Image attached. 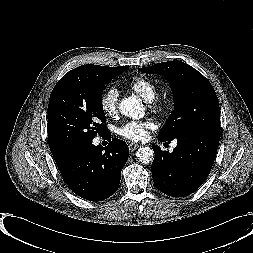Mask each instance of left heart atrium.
Wrapping results in <instances>:
<instances>
[{"instance_id":"39dd6f15","label":"left heart atrium","mask_w":253,"mask_h":253,"mask_svg":"<svg viewBox=\"0 0 253 253\" xmlns=\"http://www.w3.org/2000/svg\"><path fill=\"white\" fill-rule=\"evenodd\" d=\"M153 127L154 124L151 120L128 121L119 128L118 133L123 138L140 142L147 138L148 130Z\"/></svg>"}]
</instances>
